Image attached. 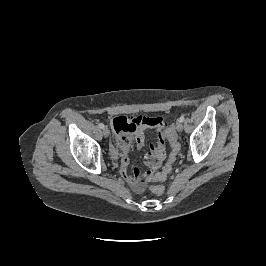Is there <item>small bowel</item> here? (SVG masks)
<instances>
[{"mask_svg": "<svg viewBox=\"0 0 266 266\" xmlns=\"http://www.w3.org/2000/svg\"><path fill=\"white\" fill-rule=\"evenodd\" d=\"M111 127L116 146L113 153L119 159L120 174L134 191L141 192L144 188L141 170L136 168L132 175L128 171L130 149L132 144H135L138 148L145 145L144 128H156L157 140L151 144V152L146 157V165L149 167L148 172H155L166 157L167 123L161 117L119 116L111 121Z\"/></svg>", "mask_w": 266, "mask_h": 266, "instance_id": "small-bowel-1", "label": "small bowel"}]
</instances>
